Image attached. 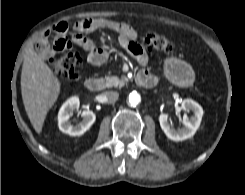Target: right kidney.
<instances>
[{
  "instance_id": "1",
  "label": "right kidney",
  "mask_w": 245,
  "mask_h": 195,
  "mask_svg": "<svg viewBox=\"0 0 245 195\" xmlns=\"http://www.w3.org/2000/svg\"><path fill=\"white\" fill-rule=\"evenodd\" d=\"M79 98L77 96L70 97L60 108L58 113V126L61 132L70 136H80L84 134L95 122L96 116L93 111L84 110L81 112L82 121L73 126L69 121L70 115L79 109Z\"/></svg>"
}]
</instances>
